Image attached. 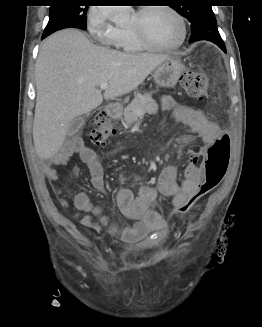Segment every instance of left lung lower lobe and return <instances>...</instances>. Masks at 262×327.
<instances>
[{"mask_svg":"<svg viewBox=\"0 0 262 327\" xmlns=\"http://www.w3.org/2000/svg\"><path fill=\"white\" fill-rule=\"evenodd\" d=\"M199 40H208L214 42L226 53L225 44L217 29V22L212 24V26H206L204 29L196 28L193 30L189 42L191 43Z\"/></svg>","mask_w":262,"mask_h":327,"instance_id":"1","label":"left lung lower lobe"}]
</instances>
